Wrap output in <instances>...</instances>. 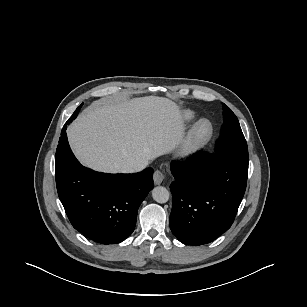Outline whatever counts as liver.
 Returning a JSON list of instances; mask_svg holds the SVG:
<instances>
[{
	"label": "liver",
	"mask_w": 307,
	"mask_h": 307,
	"mask_svg": "<svg viewBox=\"0 0 307 307\" xmlns=\"http://www.w3.org/2000/svg\"><path fill=\"white\" fill-rule=\"evenodd\" d=\"M185 125L171 100L145 96L98 100L68 128L70 146L80 162L96 171L120 173L177 148Z\"/></svg>",
	"instance_id": "obj_1"
}]
</instances>
